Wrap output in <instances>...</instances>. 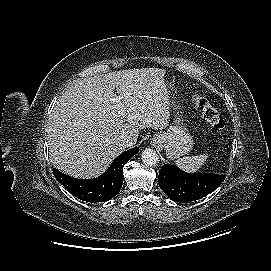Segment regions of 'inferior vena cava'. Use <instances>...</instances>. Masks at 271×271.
Wrapping results in <instances>:
<instances>
[{"label":"inferior vena cava","mask_w":271,"mask_h":271,"mask_svg":"<svg viewBox=\"0 0 271 271\" xmlns=\"http://www.w3.org/2000/svg\"><path fill=\"white\" fill-rule=\"evenodd\" d=\"M133 144V139L129 135L121 136L118 141V145L123 149L132 146Z\"/></svg>","instance_id":"1"}]
</instances>
